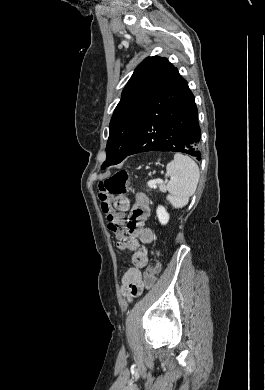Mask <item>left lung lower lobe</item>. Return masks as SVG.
I'll return each instance as SVG.
<instances>
[{
	"label": "left lung lower lobe",
	"instance_id": "obj_1",
	"mask_svg": "<svg viewBox=\"0 0 265 390\" xmlns=\"http://www.w3.org/2000/svg\"><path fill=\"white\" fill-rule=\"evenodd\" d=\"M199 141L194 96L186 80L174 68L146 107L126 157L147 151H168L186 153L201 160Z\"/></svg>",
	"mask_w": 265,
	"mask_h": 390
}]
</instances>
